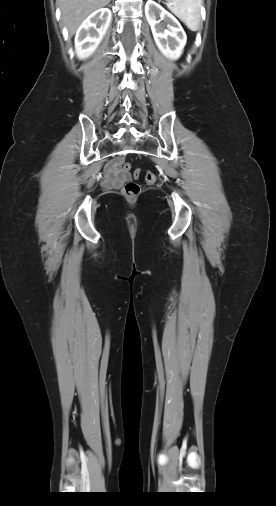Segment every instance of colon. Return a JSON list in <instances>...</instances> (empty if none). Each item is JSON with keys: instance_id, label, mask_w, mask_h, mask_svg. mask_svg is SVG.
<instances>
[{"instance_id": "obj_1", "label": "colon", "mask_w": 276, "mask_h": 506, "mask_svg": "<svg viewBox=\"0 0 276 506\" xmlns=\"http://www.w3.org/2000/svg\"><path fill=\"white\" fill-rule=\"evenodd\" d=\"M116 166L124 172H127L131 169V165L129 163L118 162V163H116ZM141 174H142V170L136 169L134 171V178L135 179L139 178L141 176ZM145 181L149 184L156 183V181H157L156 174L151 171H147L145 173ZM122 192L126 198L133 200L139 195L140 187L135 181H129V182L125 183V185L122 189Z\"/></svg>"}]
</instances>
